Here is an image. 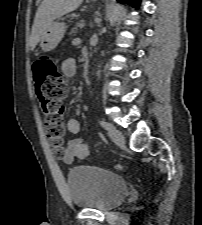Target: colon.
<instances>
[{
	"instance_id": "obj_1",
	"label": "colon",
	"mask_w": 202,
	"mask_h": 225,
	"mask_svg": "<svg viewBox=\"0 0 202 225\" xmlns=\"http://www.w3.org/2000/svg\"><path fill=\"white\" fill-rule=\"evenodd\" d=\"M32 71L49 143L58 155H62L67 132L63 123V101L69 89L68 82L57 62L49 58L35 60Z\"/></svg>"
}]
</instances>
